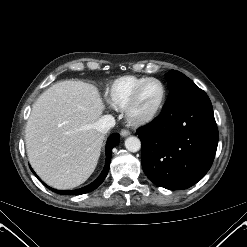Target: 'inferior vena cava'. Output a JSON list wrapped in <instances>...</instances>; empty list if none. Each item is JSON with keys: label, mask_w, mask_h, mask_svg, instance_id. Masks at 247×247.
I'll list each match as a JSON object with an SVG mask.
<instances>
[{"label": "inferior vena cava", "mask_w": 247, "mask_h": 247, "mask_svg": "<svg viewBox=\"0 0 247 247\" xmlns=\"http://www.w3.org/2000/svg\"><path fill=\"white\" fill-rule=\"evenodd\" d=\"M114 126H115V119L112 115H103L95 123V129L102 134H106Z\"/></svg>", "instance_id": "inferior-vena-cava-1"}]
</instances>
